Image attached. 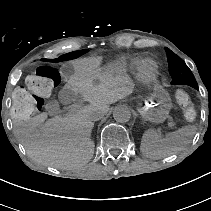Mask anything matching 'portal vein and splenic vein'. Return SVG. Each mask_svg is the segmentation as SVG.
<instances>
[{
	"label": "portal vein and splenic vein",
	"instance_id": "18ae733b",
	"mask_svg": "<svg viewBox=\"0 0 211 211\" xmlns=\"http://www.w3.org/2000/svg\"><path fill=\"white\" fill-rule=\"evenodd\" d=\"M168 126H169L170 128H174L175 130H178V127H177L175 124L173 125L172 122H169V123H168Z\"/></svg>",
	"mask_w": 211,
	"mask_h": 211
}]
</instances>
